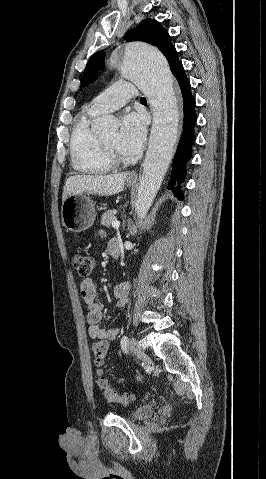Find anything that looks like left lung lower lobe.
Returning a JSON list of instances; mask_svg holds the SVG:
<instances>
[{"label": "left lung lower lobe", "instance_id": "1", "mask_svg": "<svg viewBox=\"0 0 266 479\" xmlns=\"http://www.w3.org/2000/svg\"><path fill=\"white\" fill-rule=\"evenodd\" d=\"M181 88L184 103V127L178 148L173 160L171 178L168 183V189L180 199H183L181 183L185 179V165L191 158V152L195 141L194 125L196 123L195 99L191 94L190 82L187 79L182 64H178L172 71Z\"/></svg>", "mask_w": 266, "mask_h": 479}]
</instances>
